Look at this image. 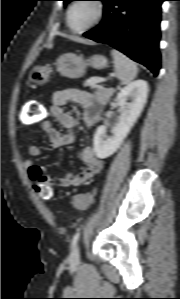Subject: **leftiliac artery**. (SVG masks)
<instances>
[{
  "instance_id": "left-iliac-artery-1",
  "label": "left iliac artery",
  "mask_w": 180,
  "mask_h": 299,
  "mask_svg": "<svg viewBox=\"0 0 180 299\" xmlns=\"http://www.w3.org/2000/svg\"><path fill=\"white\" fill-rule=\"evenodd\" d=\"M78 238H79V231L76 232V234L73 236L72 243H71V248H73L75 246V244L77 243Z\"/></svg>"
}]
</instances>
